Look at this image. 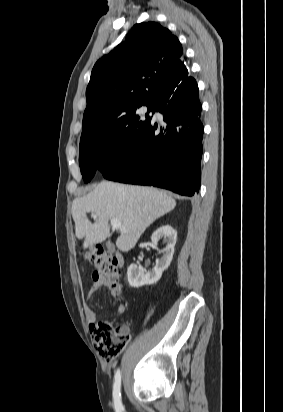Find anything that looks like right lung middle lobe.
Segmentation results:
<instances>
[{"mask_svg":"<svg viewBox=\"0 0 283 412\" xmlns=\"http://www.w3.org/2000/svg\"><path fill=\"white\" fill-rule=\"evenodd\" d=\"M155 109L156 103L139 104L128 109L106 131L81 138L79 165L85 183L92 179L96 170L130 150L151 121Z\"/></svg>","mask_w":283,"mask_h":412,"instance_id":"obj_1","label":"right lung middle lobe"}]
</instances>
